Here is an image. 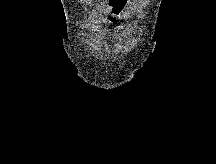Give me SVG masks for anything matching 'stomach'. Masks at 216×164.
Wrapping results in <instances>:
<instances>
[{"mask_svg": "<svg viewBox=\"0 0 216 164\" xmlns=\"http://www.w3.org/2000/svg\"><path fill=\"white\" fill-rule=\"evenodd\" d=\"M136 0H108L110 7H105V12H110L109 15H105V20H121L122 16L120 12H124L123 16L127 17L130 11L128 3H133Z\"/></svg>", "mask_w": 216, "mask_h": 164, "instance_id": "stomach-1", "label": "stomach"}]
</instances>
